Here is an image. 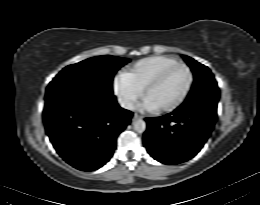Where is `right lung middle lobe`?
Here are the masks:
<instances>
[{"label":"right lung middle lobe","instance_id":"1","mask_svg":"<svg viewBox=\"0 0 260 205\" xmlns=\"http://www.w3.org/2000/svg\"><path fill=\"white\" fill-rule=\"evenodd\" d=\"M130 60L114 56H97L65 67L51 83L73 82L112 92L114 74Z\"/></svg>","mask_w":260,"mask_h":205}]
</instances>
